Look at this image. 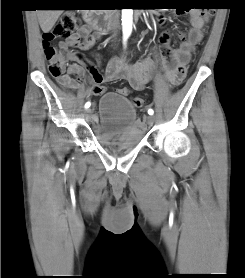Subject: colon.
<instances>
[{
  "instance_id": "obj_1",
  "label": "colon",
  "mask_w": 245,
  "mask_h": 278,
  "mask_svg": "<svg viewBox=\"0 0 245 278\" xmlns=\"http://www.w3.org/2000/svg\"><path fill=\"white\" fill-rule=\"evenodd\" d=\"M200 8H204L205 11L210 12L214 7L211 5H203ZM207 19L203 21V25L207 23ZM79 26L78 18L70 13H65L60 16L56 25L43 33V47L45 56L47 59L48 70L50 74L60 80L63 83L68 84L69 81L65 79L64 72L69 61L83 59V55L79 52H73L67 45L55 44V41L68 37L75 29ZM180 79L173 82L174 85H178ZM116 92L122 96H129L130 90L127 87H118ZM132 103L135 107H141L144 104V99L142 97L132 98Z\"/></svg>"
}]
</instances>
